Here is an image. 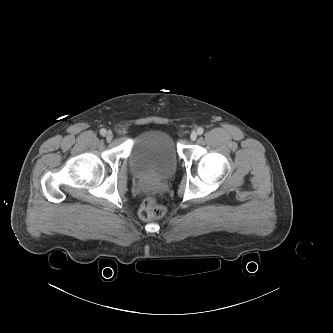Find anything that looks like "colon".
Here are the masks:
<instances>
[{
  "instance_id": "obj_1",
  "label": "colon",
  "mask_w": 333,
  "mask_h": 333,
  "mask_svg": "<svg viewBox=\"0 0 333 333\" xmlns=\"http://www.w3.org/2000/svg\"><path fill=\"white\" fill-rule=\"evenodd\" d=\"M165 214V207L158 203L153 194H148L143 200L139 215L145 221L156 220Z\"/></svg>"
}]
</instances>
